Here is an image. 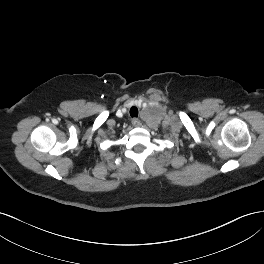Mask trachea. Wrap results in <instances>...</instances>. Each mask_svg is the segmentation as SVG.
<instances>
[{
    "label": "trachea",
    "mask_w": 264,
    "mask_h": 264,
    "mask_svg": "<svg viewBox=\"0 0 264 264\" xmlns=\"http://www.w3.org/2000/svg\"><path fill=\"white\" fill-rule=\"evenodd\" d=\"M130 115H131V117H138V109H137V107L133 106L130 109Z\"/></svg>",
    "instance_id": "obj_1"
}]
</instances>
